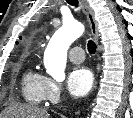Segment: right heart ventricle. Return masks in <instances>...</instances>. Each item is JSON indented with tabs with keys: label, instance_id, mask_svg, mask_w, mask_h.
Masks as SVG:
<instances>
[{
	"label": "right heart ventricle",
	"instance_id": "obj_1",
	"mask_svg": "<svg viewBox=\"0 0 133 118\" xmlns=\"http://www.w3.org/2000/svg\"><path fill=\"white\" fill-rule=\"evenodd\" d=\"M44 84L45 76L34 69H28L22 77L21 84L24 99L33 105L41 104L45 100Z\"/></svg>",
	"mask_w": 133,
	"mask_h": 118
}]
</instances>
